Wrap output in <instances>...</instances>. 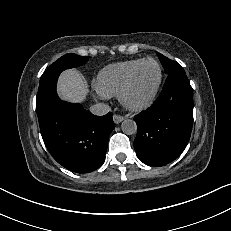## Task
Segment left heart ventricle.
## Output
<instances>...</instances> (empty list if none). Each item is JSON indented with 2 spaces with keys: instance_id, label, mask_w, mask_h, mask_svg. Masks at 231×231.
I'll return each instance as SVG.
<instances>
[{
  "instance_id": "obj_1",
  "label": "left heart ventricle",
  "mask_w": 231,
  "mask_h": 231,
  "mask_svg": "<svg viewBox=\"0 0 231 231\" xmlns=\"http://www.w3.org/2000/svg\"><path fill=\"white\" fill-rule=\"evenodd\" d=\"M159 77L155 63L148 62L140 67L134 78L129 99L134 103L144 101L153 91Z\"/></svg>"
}]
</instances>
